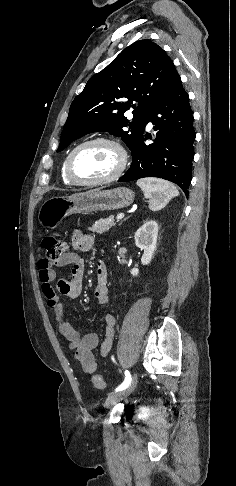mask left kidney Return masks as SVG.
<instances>
[{"label":"left kidney","mask_w":236,"mask_h":486,"mask_svg":"<svg viewBox=\"0 0 236 486\" xmlns=\"http://www.w3.org/2000/svg\"><path fill=\"white\" fill-rule=\"evenodd\" d=\"M158 229L156 221L148 220L135 233V244L144 252L141 257L142 265L150 264L153 258V254L157 247ZM130 273L133 276H137L139 274V269L133 268Z\"/></svg>","instance_id":"5707ae66"}]
</instances>
